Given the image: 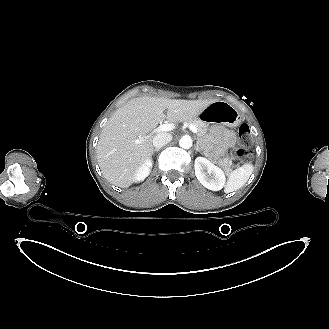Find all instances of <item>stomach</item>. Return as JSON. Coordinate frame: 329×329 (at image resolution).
Wrapping results in <instances>:
<instances>
[{
  "instance_id": "obj_1",
  "label": "stomach",
  "mask_w": 329,
  "mask_h": 329,
  "mask_svg": "<svg viewBox=\"0 0 329 329\" xmlns=\"http://www.w3.org/2000/svg\"><path fill=\"white\" fill-rule=\"evenodd\" d=\"M198 117L207 124L221 122L228 127H236L241 122L239 112L222 100L209 104Z\"/></svg>"
}]
</instances>
